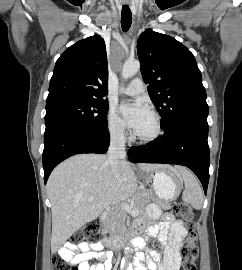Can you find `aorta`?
Listing matches in <instances>:
<instances>
[{
    "mask_svg": "<svg viewBox=\"0 0 242 270\" xmlns=\"http://www.w3.org/2000/svg\"><path fill=\"white\" fill-rule=\"evenodd\" d=\"M140 70V62L138 60L127 61L124 63L121 76L123 80L133 77Z\"/></svg>",
    "mask_w": 242,
    "mask_h": 270,
    "instance_id": "762f6f07",
    "label": "aorta"
}]
</instances>
